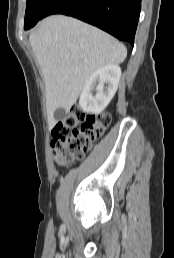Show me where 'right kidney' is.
I'll return each mask as SVG.
<instances>
[{"instance_id":"ca27d5eb","label":"right kidney","mask_w":174,"mask_h":258,"mask_svg":"<svg viewBox=\"0 0 174 258\" xmlns=\"http://www.w3.org/2000/svg\"><path fill=\"white\" fill-rule=\"evenodd\" d=\"M120 77L118 64L106 65L92 73L85 81L79 98L81 109L90 114L101 113L115 95ZM93 89L96 90L95 95Z\"/></svg>"}]
</instances>
